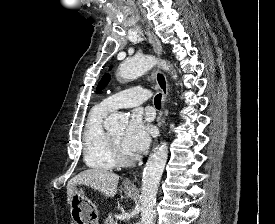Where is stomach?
Returning a JSON list of instances; mask_svg holds the SVG:
<instances>
[{"label":"stomach","mask_w":275,"mask_h":224,"mask_svg":"<svg viewBox=\"0 0 275 224\" xmlns=\"http://www.w3.org/2000/svg\"><path fill=\"white\" fill-rule=\"evenodd\" d=\"M128 197L135 195V190L124 185L122 188ZM70 214L74 224H99V211L80 189L73 192L70 199Z\"/></svg>","instance_id":"stomach-1"}]
</instances>
